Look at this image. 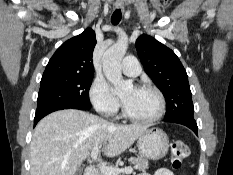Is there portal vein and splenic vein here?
<instances>
[{"mask_svg": "<svg viewBox=\"0 0 233 175\" xmlns=\"http://www.w3.org/2000/svg\"><path fill=\"white\" fill-rule=\"evenodd\" d=\"M98 153H99V147H94L93 150L91 151L92 160H95V161L97 160ZM99 168H100L101 173H103V175H119L121 173L131 174L133 172L132 167L116 169L113 167L99 164Z\"/></svg>", "mask_w": 233, "mask_h": 175, "instance_id": "portal-vein-and-splenic-vein-1", "label": "portal vein and splenic vein"}]
</instances>
